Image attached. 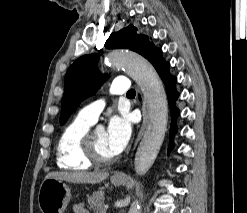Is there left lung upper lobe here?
I'll return each mask as SVG.
<instances>
[{"label": "left lung upper lobe", "instance_id": "obj_1", "mask_svg": "<svg viewBox=\"0 0 247 213\" xmlns=\"http://www.w3.org/2000/svg\"><path fill=\"white\" fill-rule=\"evenodd\" d=\"M106 48L129 49L147 58L153 65L163 60L161 50L148 41L145 35L137 34L133 25L112 33L105 43ZM98 54H89L77 59L68 69L64 79V95L60 124L63 125L80 102L95 94L106 76L100 74Z\"/></svg>", "mask_w": 247, "mask_h": 213}]
</instances>
